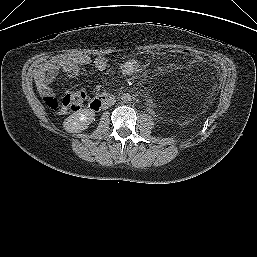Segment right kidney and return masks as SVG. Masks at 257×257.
<instances>
[{
  "label": "right kidney",
  "instance_id": "ca27d5eb",
  "mask_svg": "<svg viewBox=\"0 0 257 257\" xmlns=\"http://www.w3.org/2000/svg\"><path fill=\"white\" fill-rule=\"evenodd\" d=\"M95 113L88 108L79 110L69 117L63 123V127L70 133H78L84 131L93 122Z\"/></svg>",
  "mask_w": 257,
  "mask_h": 257
}]
</instances>
